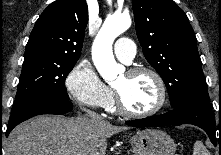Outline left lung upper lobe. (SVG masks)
<instances>
[{
  "instance_id": "1",
  "label": "left lung upper lobe",
  "mask_w": 221,
  "mask_h": 155,
  "mask_svg": "<svg viewBox=\"0 0 221 155\" xmlns=\"http://www.w3.org/2000/svg\"><path fill=\"white\" fill-rule=\"evenodd\" d=\"M136 33L150 65L163 79L172 107L207 91L197 40L186 14L172 0H132Z\"/></svg>"
}]
</instances>
